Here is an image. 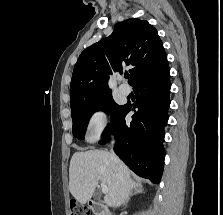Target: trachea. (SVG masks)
Here are the masks:
<instances>
[{
    "instance_id": "trachea-1",
    "label": "trachea",
    "mask_w": 223,
    "mask_h": 215,
    "mask_svg": "<svg viewBox=\"0 0 223 215\" xmlns=\"http://www.w3.org/2000/svg\"><path fill=\"white\" fill-rule=\"evenodd\" d=\"M129 77V75H125V78H128Z\"/></svg>"
}]
</instances>
